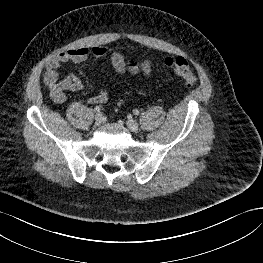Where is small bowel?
Returning a JSON list of instances; mask_svg holds the SVG:
<instances>
[{
	"label": "small bowel",
	"instance_id": "small-bowel-1",
	"mask_svg": "<svg viewBox=\"0 0 263 263\" xmlns=\"http://www.w3.org/2000/svg\"><path fill=\"white\" fill-rule=\"evenodd\" d=\"M107 50L104 47H76L67 51L55 54L47 63L44 74L45 84L49 87L52 99L57 103L66 100L67 92H77L82 89V81L75 75H68L64 78L59 77L58 69L66 62H82L92 55L96 58L106 56ZM110 62L114 71L118 74H142L148 77L151 73V65L148 59L141 61L127 60L125 56L119 52H113L110 55ZM108 99V91L106 89L99 90L95 95L88 98L91 104H100Z\"/></svg>",
	"mask_w": 263,
	"mask_h": 263
}]
</instances>
